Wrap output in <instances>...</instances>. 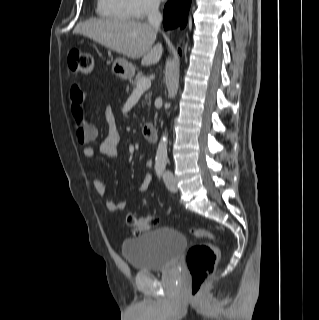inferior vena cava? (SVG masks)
I'll return each mask as SVG.
<instances>
[{
  "label": "inferior vena cava",
  "instance_id": "1",
  "mask_svg": "<svg viewBox=\"0 0 319 320\" xmlns=\"http://www.w3.org/2000/svg\"><path fill=\"white\" fill-rule=\"evenodd\" d=\"M162 22V15L159 12V3L153 0L149 7L148 23L152 25L156 30L160 28Z\"/></svg>",
  "mask_w": 319,
  "mask_h": 320
}]
</instances>
